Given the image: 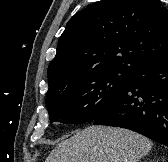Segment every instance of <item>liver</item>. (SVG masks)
<instances>
[{
	"instance_id": "liver-1",
	"label": "liver",
	"mask_w": 168,
	"mask_h": 162,
	"mask_svg": "<svg viewBox=\"0 0 168 162\" xmlns=\"http://www.w3.org/2000/svg\"><path fill=\"white\" fill-rule=\"evenodd\" d=\"M152 146L128 129L91 126L59 143L45 162H138Z\"/></svg>"
}]
</instances>
